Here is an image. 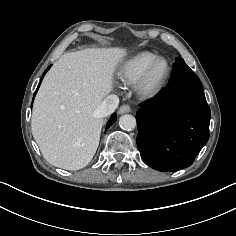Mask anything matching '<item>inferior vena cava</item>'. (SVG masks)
Segmentation results:
<instances>
[{"instance_id":"1","label":"inferior vena cava","mask_w":236,"mask_h":236,"mask_svg":"<svg viewBox=\"0 0 236 236\" xmlns=\"http://www.w3.org/2000/svg\"><path fill=\"white\" fill-rule=\"evenodd\" d=\"M118 104H119L118 96L115 94H111L107 96L100 104V106L97 109V113L101 117H106L115 111V109L118 107Z\"/></svg>"}]
</instances>
